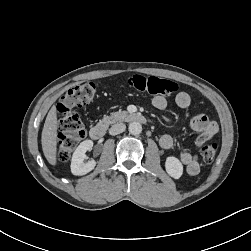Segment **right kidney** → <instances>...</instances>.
Instances as JSON below:
<instances>
[{
	"label": "right kidney",
	"mask_w": 251,
	"mask_h": 251,
	"mask_svg": "<svg viewBox=\"0 0 251 251\" xmlns=\"http://www.w3.org/2000/svg\"><path fill=\"white\" fill-rule=\"evenodd\" d=\"M93 147L92 140H85L79 144V146L75 149L72 159H71V172L73 175L82 176L90 171H92L95 166V160L88 161L84 163L86 159V152L91 150Z\"/></svg>",
	"instance_id": "obj_1"
}]
</instances>
